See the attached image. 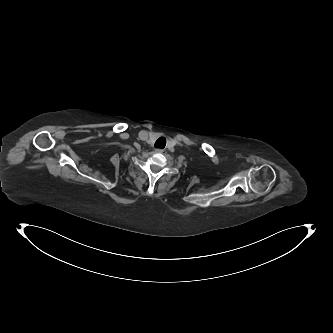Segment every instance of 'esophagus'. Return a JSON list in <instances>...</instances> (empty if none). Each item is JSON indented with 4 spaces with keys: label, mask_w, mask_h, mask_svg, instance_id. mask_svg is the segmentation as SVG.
Listing matches in <instances>:
<instances>
[{
    "label": "esophagus",
    "mask_w": 333,
    "mask_h": 333,
    "mask_svg": "<svg viewBox=\"0 0 333 333\" xmlns=\"http://www.w3.org/2000/svg\"><path fill=\"white\" fill-rule=\"evenodd\" d=\"M164 151H165L164 149H160V148L155 150L156 153H163Z\"/></svg>",
    "instance_id": "34e87169"
}]
</instances>
